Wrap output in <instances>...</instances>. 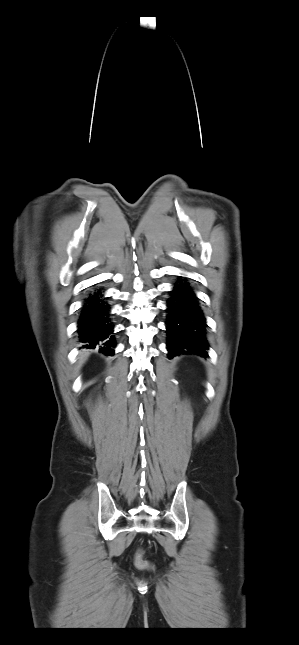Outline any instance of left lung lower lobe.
Here are the masks:
<instances>
[{
  "instance_id": "1",
  "label": "left lung lower lobe",
  "mask_w": 299,
  "mask_h": 645,
  "mask_svg": "<svg viewBox=\"0 0 299 645\" xmlns=\"http://www.w3.org/2000/svg\"><path fill=\"white\" fill-rule=\"evenodd\" d=\"M167 301V349L168 356L194 353L208 355L205 338V318L197 297L187 282L178 281Z\"/></svg>"
}]
</instances>
